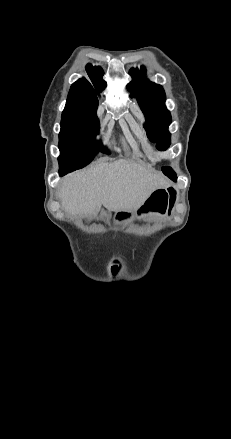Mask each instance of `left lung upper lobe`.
<instances>
[{"instance_id": "obj_1", "label": "left lung upper lobe", "mask_w": 231, "mask_h": 439, "mask_svg": "<svg viewBox=\"0 0 231 439\" xmlns=\"http://www.w3.org/2000/svg\"><path fill=\"white\" fill-rule=\"evenodd\" d=\"M146 68L131 69L130 75L133 80L127 88L137 97L142 112L145 115V129L147 136L152 142H157L159 150H165L170 145V133L167 131L171 123L170 112L165 107V92L162 86L155 84L145 76ZM140 76L142 80H140ZM163 172L170 178H176L175 173L169 167H163Z\"/></svg>"}]
</instances>
